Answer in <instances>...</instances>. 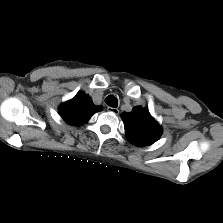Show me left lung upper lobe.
Masks as SVG:
<instances>
[{"label":"left lung upper lobe","instance_id":"obj_1","mask_svg":"<svg viewBox=\"0 0 223 223\" xmlns=\"http://www.w3.org/2000/svg\"><path fill=\"white\" fill-rule=\"evenodd\" d=\"M121 118L127 139L136 146L151 145L161 136V127L146 108L134 107L131 113L125 112Z\"/></svg>","mask_w":223,"mask_h":223}]
</instances>
